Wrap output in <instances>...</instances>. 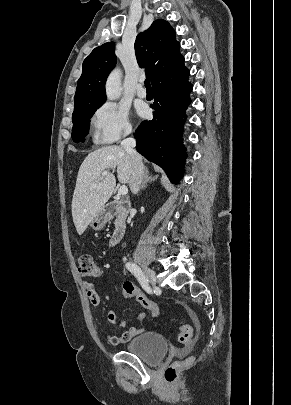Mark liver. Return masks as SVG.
<instances>
[{"mask_svg":"<svg viewBox=\"0 0 291 405\" xmlns=\"http://www.w3.org/2000/svg\"><path fill=\"white\" fill-rule=\"evenodd\" d=\"M117 168V178L122 184L131 180V158L120 146L99 148L81 164L72 199V217L76 230L82 235L96 214L103 209L116 186L110 169ZM107 172L106 176L102 173Z\"/></svg>","mask_w":291,"mask_h":405,"instance_id":"obj_1","label":"liver"}]
</instances>
